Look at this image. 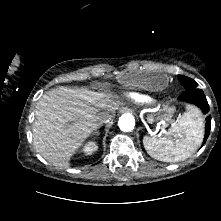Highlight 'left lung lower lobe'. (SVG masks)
I'll return each instance as SVG.
<instances>
[{
    "label": "left lung lower lobe",
    "instance_id": "left-lung-lower-lobe-1",
    "mask_svg": "<svg viewBox=\"0 0 221 221\" xmlns=\"http://www.w3.org/2000/svg\"><path fill=\"white\" fill-rule=\"evenodd\" d=\"M179 98L181 100L187 101L189 103L195 104L196 106H198L202 112L204 114L208 113L209 110V105L207 102V99L204 95L203 90L199 89V88H194V89H190V90H185L180 96ZM210 124H211V118L210 116L206 117V129H205V137H204V141H203V145L206 142L208 136H209V132H210Z\"/></svg>",
    "mask_w": 221,
    "mask_h": 221
}]
</instances>
